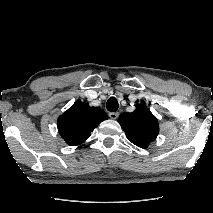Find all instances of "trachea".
I'll use <instances>...</instances> for the list:
<instances>
[{
  "mask_svg": "<svg viewBox=\"0 0 213 213\" xmlns=\"http://www.w3.org/2000/svg\"><path fill=\"white\" fill-rule=\"evenodd\" d=\"M118 101L115 97H110L106 103V108L110 112H115L118 109Z\"/></svg>",
  "mask_w": 213,
  "mask_h": 213,
  "instance_id": "obj_1",
  "label": "trachea"
}]
</instances>
